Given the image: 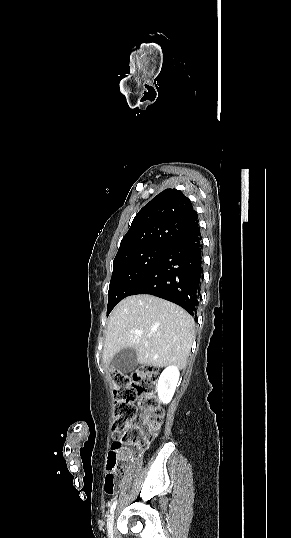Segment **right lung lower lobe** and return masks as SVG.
Returning a JSON list of instances; mask_svg holds the SVG:
<instances>
[{
  "label": "right lung lower lobe",
  "mask_w": 291,
  "mask_h": 538,
  "mask_svg": "<svg viewBox=\"0 0 291 538\" xmlns=\"http://www.w3.org/2000/svg\"><path fill=\"white\" fill-rule=\"evenodd\" d=\"M200 230L172 246L130 295L151 294L196 316L203 280Z\"/></svg>",
  "instance_id": "right-lung-lower-lobe-1"
}]
</instances>
